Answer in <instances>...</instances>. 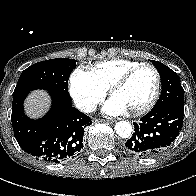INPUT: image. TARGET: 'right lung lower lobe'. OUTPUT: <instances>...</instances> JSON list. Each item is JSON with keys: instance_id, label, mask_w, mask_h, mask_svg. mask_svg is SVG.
I'll return each instance as SVG.
<instances>
[{"instance_id": "1", "label": "right lung lower lobe", "mask_w": 196, "mask_h": 196, "mask_svg": "<svg viewBox=\"0 0 196 196\" xmlns=\"http://www.w3.org/2000/svg\"><path fill=\"white\" fill-rule=\"evenodd\" d=\"M52 98L49 112L33 120L24 113L27 96L13 98L12 126L20 147L38 160L58 163L75 157L83 148L85 127L91 125L89 116L72 107L68 99L56 91L48 90Z\"/></svg>"}]
</instances>
